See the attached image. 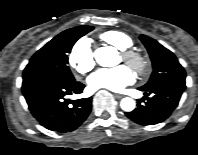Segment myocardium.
<instances>
[{
  "mask_svg": "<svg viewBox=\"0 0 198 155\" xmlns=\"http://www.w3.org/2000/svg\"><path fill=\"white\" fill-rule=\"evenodd\" d=\"M121 57L138 73H144L148 67L146 57L137 50L131 48L121 50Z\"/></svg>",
  "mask_w": 198,
  "mask_h": 155,
  "instance_id": "myocardium-1",
  "label": "myocardium"
}]
</instances>
